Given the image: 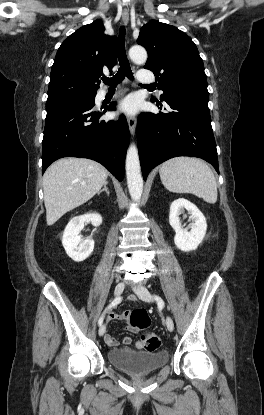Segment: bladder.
<instances>
[{"instance_id": "1", "label": "bladder", "mask_w": 264, "mask_h": 415, "mask_svg": "<svg viewBox=\"0 0 264 415\" xmlns=\"http://www.w3.org/2000/svg\"><path fill=\"white\" fill-rule=\"evenodd\" d=\"M168 358L169 353L165 349L144 351L133 348H121L107 352V360L113 367L135 375L158 370L167 363Z\"/></svg>"}]
</instances>
